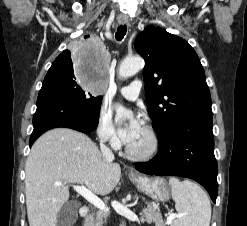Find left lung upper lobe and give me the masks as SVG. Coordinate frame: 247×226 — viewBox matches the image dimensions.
<instances>
[{
  "label": "left lung upper lobe",
  "instance_id": "5c2ea615",
  "mask_svg": "<svg viewBox=\"0 0 247 226\" xmlns=\"http://www.w3.org/2000/svg\"><path fill=\"white\" fill-rule=\"evenodd\" d=\"M134 46L145 60V96L159 139L192 115L212 112L203 67L188 42L163 28L148 26Z\"/></svg>",
  "mask_w": 247,
  "mask_h": 226
}]
</instances>
